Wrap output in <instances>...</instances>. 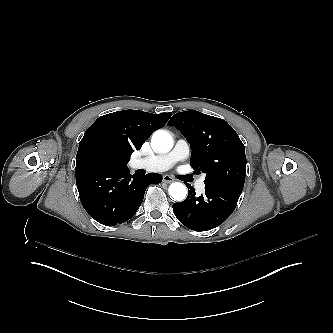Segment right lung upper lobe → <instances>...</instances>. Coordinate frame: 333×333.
Masks as SVG:
<instances>
[{"label": "right lung upper lobe", "mask_w": 333, "mask_h": 333, "mask_svg": "<svg viewBox=\"0 0 333 333\" xmlns=\"http://www.w3.org/2000/svg\"><path fill=\"white\" fill-rule=\"evenodd\" d=\"M172 113L151 114L124 110L99 117L85 132L76 155V168L87 165L94 151H103L121 165H127L133 151L157 129L162 128Z\"/></svg>", "instance_id": "obj_1"}]
</instances>
